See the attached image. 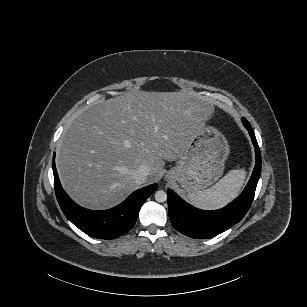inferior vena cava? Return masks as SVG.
I'll return each mask as SVG.
<instances>
[{
    "label": "inferior vena cava",
    "mask_w": 307,
    "mask_h": 307,
    "mask_svg": "<svg viewBox=\"0 0 307 307\" xmlns=\"http://www.w3.org/2000/svg\"><path fill=\"white\" fill-rule=\"evenodd\" d=\"M150 167L147 165H141L139 168L133 173V178L136 184H142L145 182L147 176L149 175Z\"/></svg>",
    "instance_id": "obj_1"
}]
</instances>
